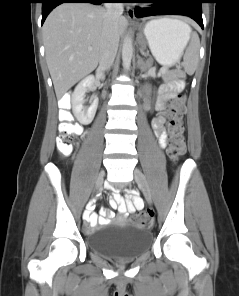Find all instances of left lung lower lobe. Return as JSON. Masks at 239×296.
<instances>
[{"instance_id":"0a47b994","label":"left lung lower lobe","mask_w":239,"mask_h":296,"mask_svg":"<svg viewBox=\"0 0 239 296\" xmlns=\"http://www.w3.org/2000/svg\"><path fill=\"white\" fill-rule=\"evenodd\" d=\"M152 3H161L151 8L135 9L136 17L178 14L194 19L203 29L202 3L204 0H159Z\"/></svg>"}]
</instances>
